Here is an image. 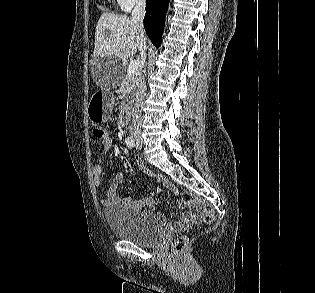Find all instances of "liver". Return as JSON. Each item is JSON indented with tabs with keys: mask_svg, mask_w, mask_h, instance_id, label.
<instances>
[{
	"mask_svg": "<svg viewBox=\"0 0 315 293\" xmlns=\"http://www.w3.org/2000/svg\"><path fill=\"white\" fill-rule=\"evenodd\" d=\"M138 49L137 33L126 15L101 14L95 30L94 57L113 56L125 61Z\"/></svg>",
	"mask_w": 315,
	"mask_h": 293,
	"instance_id": "obj_1",
	"label": "liver"
}]
</instances>
